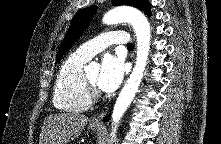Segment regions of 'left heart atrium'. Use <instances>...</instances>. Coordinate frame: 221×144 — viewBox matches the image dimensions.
<instances>
[{
    "mask_svg": "<svg viewBox=\"0 0 221 144\" xmlns=\"http://www.w3.org/2000/svg\"><path fill=\"white\" fill-rule=\"evenodd\" d=\"M124 74V61L120 57L106 55L102 59L97 86L104 92H112L122 82Z\"/></svg>",
    "mask_w": 221,
    "mask_h": 144,
    "instance_id": "1",
    "label": "left heart atrium"
}]
</instances>
